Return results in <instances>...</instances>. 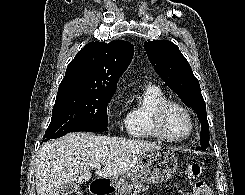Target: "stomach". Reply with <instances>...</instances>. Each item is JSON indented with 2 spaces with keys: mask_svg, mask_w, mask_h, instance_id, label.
<instances>
[{
  "mask_svg": "<svg viewBox=\"0 0 245 195\" xmlns=\"http://www.w3.org/2000/svg\"><path fill=\"white\" fill-rule=\"evenodd\" d=\"M178 159L169 149H155L145 152L140 156L136 165L121 177L112 178L110 187L118 189L126 180L145 182L148 184L168 181L176 173Z\"/></svg>",
  "mask_w": 245,
  "mask_h": 195,
  "instance_id": "1",
  "label": "stomach"
}]
</instances>
